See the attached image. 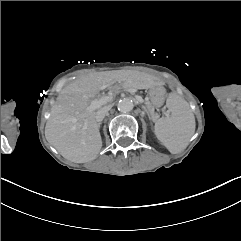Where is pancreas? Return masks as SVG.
I'll list each match as a JSON object with an SVG mask.
<instances>
[{
  "instance_id": "pancreas-1",
  "label": "pancreas",
  "mask_w": 241,
  "mask_h": 241,
  "mask_svg": "<svg viewBox=\"0 0 241 241\" xmlns=\"http://www.w3.org/2000/svg\"><path fill=\"white\" fill-rule=\"evenodd\" d=\"M143 108L146 109L149 113H153V111H154V109L151 106H149L148 104H146Z\"/></svg>"
}]
</instances>
